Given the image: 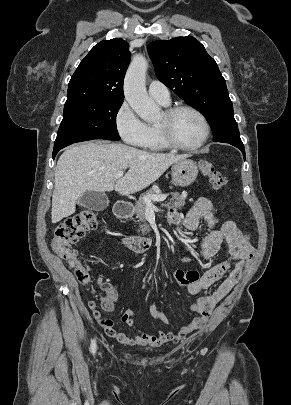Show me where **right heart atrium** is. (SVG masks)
<instances>
[{"label": "right heart atrium", "mask_w": 291, "mask_h": 405, "mask_svg": "<svg viewBox=\"0 0 291 405\" xmlns=\"http://www.w3.org/2000/svg\"><path fill=\"white\" fill-rule=\"evenodd\" d=\"M114 122L118 134L126 144L134 147L144 146L148 137V125L127 102H123L117 109Z\"/></svg>", "instance_id": "obj_1"}]
</instances>
